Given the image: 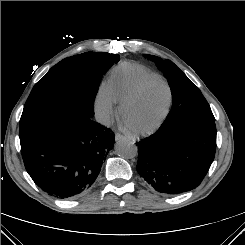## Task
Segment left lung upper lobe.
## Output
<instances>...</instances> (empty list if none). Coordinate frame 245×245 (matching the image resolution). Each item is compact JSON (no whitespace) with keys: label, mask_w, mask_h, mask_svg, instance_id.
<instances>
[{"label":"left lung upper lobe","mask_w":245,"mask_h":245,"mask_svg":"<svg viewBox=\"0 0 245 245\" xmlns=\"http://www.w3.org/2000/svg\"><path fill=\"white\" fill-rule=\"evenodd\" d=\"M154 61L164 72L172 92V108L164 121V124L184 114H193L215 120L211 108L202 95L187 76L170 60H162L157 56L145 55Z\"/></svg>","instance_id":"obj_1"}]
</instances>
